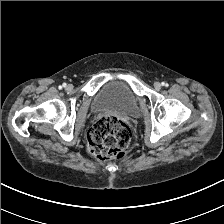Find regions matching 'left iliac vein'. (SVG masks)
Listing matches in <instances>:
<instances>
[{"label":"left iliac vein","mask_w":224,"mask_h":224,"mask_svg":"<svg viewBox=\"0 0 224 224\" xmlns=\"http://www.w3.org/2000/svg\"><path fill=\"white\" fill-rule=\"evenodd\" d=\"M154 88L156 90H160L161 89V83L160 82H154Z\"/></svg>","instance_id":"left-iliac-vein-1"}]
</instances>
